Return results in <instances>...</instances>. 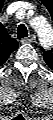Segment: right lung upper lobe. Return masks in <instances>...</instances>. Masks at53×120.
Masks as SVG:
<instances>
[{"mask_svg":"<svg viewBox=\"0 0 53 120\" xmlns=\"http://www.w3.org/2000/svg\"><path fill=\"white\" fill-rule=\"evenodd\" d=\"M18 48V42L11 38L2 25L0 29V64H4L10 54Z\"/></svg>","mask_w":53,"mask_h":120,"instance_id":"right-lung-upper-lobe-1","label":"right lung upper lobe"}]
</instances>
